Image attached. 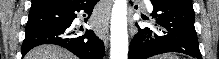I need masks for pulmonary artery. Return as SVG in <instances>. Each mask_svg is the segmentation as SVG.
Instances as JSON below:
<instances>
[{
    "instance_id": "obj_1",
    "label": "pulmonary artery",
    "mask_w": 219,
    "mask_h": 59,
    "mask_svg": "<svg viewBox=\"0 0 219 59\" xmlns=\"http://www.w3.org/2000/svg\"><path fill=\"white\" fill-rule=\"evenodd\" d=\"M143 5L146 8V10L151 11V6L149 4V1H143Z\"/></svg>"
}]
</instances>
